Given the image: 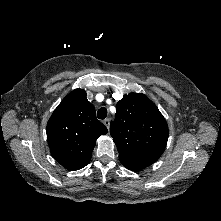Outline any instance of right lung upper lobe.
Instances as JSON below:
<instances>
[{"mask_svg":"<svg viewBox=\"0 0 221 221\" xmlns=\"http://www.w3.org/2000/svg\"><path fill=\"white\" fill-rule=\"evenodd\" d=\"M108 132L96 118L94 106L83 89L68 94L47 123V140L54 159L68 170L85 167L95 141Z\"/></svg>","mask_w":221,"mask_h":221,"instance_id":"cb5924a9","label":"right lung upper lobe"}]
</instances>
